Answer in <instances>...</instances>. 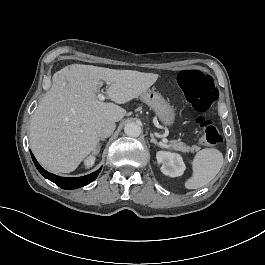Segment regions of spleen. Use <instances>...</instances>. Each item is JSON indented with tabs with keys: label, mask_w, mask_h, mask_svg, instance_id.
Masks as SVG:
<instances>
[{
	"label": "spleen",
	"mask_w": 265,
	"mask_h": 265,
	"mask_svg": "<svg viewBox=\"0 0 265 265\" xmlns=\"http://www.w3.org/2000/svg\"><path fill=\"white\" fill-rule=\"evenodd\" d=\"M223 162L222 153L215 148L198 151L192 162L193 176L185 183V187L198 189L208 184L219 173Z\"/></svg>",
	"instance_id": "obj_1"
}]
</instances>
